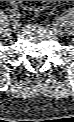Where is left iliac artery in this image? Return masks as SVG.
I'll use <instances>...</instances> for the list:
<instances>
[{
  "label": "left iliac artery",
  "instance_id": "left-iliac-artery-1",
  "mask_svg": "<svg viewBox=\"0 0 74 122\" xmlns=\"http://www.w3.org/2000/svg\"><path fill=\"white\" fill-rule=\"evenodd\" d=\"M59 25L60 27H62L64 25L63 21H61Z\"/></svg>",
  "mask_w": 74,
  "mask_h": 122
}]
</instances>
